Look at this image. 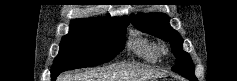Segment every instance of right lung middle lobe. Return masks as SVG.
<instances>
[{"mask_svg":"<svg viewBox=\"0 0 237 81\" xmlns=\"http://www.w3.org/2000/svg\"><path fill=\"white\" fill-rule=\"evenodd\" d=\"M129 23L90 24L71 22L63 36L51 75L76 68L91 67L112 60L124 49Z\"/></svg>","mask_w":237,"mask_h":81,"instance_id":"right-lung-middle-lobe-1","label":"right lung middle lobe"}]
</instances>
